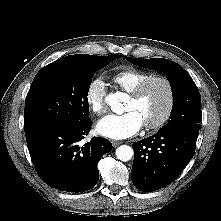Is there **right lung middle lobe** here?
<instances>
[{"label": "right lung middle lobe", "mask_w": 221, "mask_h": 221, "mask_svg": "<svg viewBox=\"0 0 221 221\" xmlns=\"http://www.w3.org/2000/svg\"><path fill=\"white\" fill-rule=\"evenodd\" d=\"M119 55H70L43 67L25 99V135L52 123L89 122L87 95L92 76Z\"/></svg>", "instance_id": "obj_1"}]
</instances>
